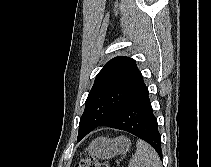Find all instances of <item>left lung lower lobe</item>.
Returning a JSON list of instances; mask_svg holds the SVG:
<instances>
[{
  "mask_svg": "<svg viewBox=\"0 0 211 167\" xmlns=\"http://www.w3.org/2000/svg\"><path fill=\"white\" fill-rule=\"evenodd\" d=\"M148 94L146 87L102 126L124 130L136 135L149 143L162 158L161 136ZM82 138L78 139V141Z\"/></svg>",
  "mask_w": 211,
  "mask_h": 167,
  "instance_id": "0a47b994",
  "label": "left lung lower lobe"
}]
</instances>
